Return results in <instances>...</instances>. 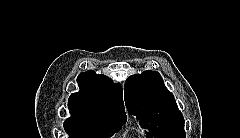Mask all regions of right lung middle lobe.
<instances>
[{
  "mask_svg": "<svg viewBox=\"0 0 240 138\" xmlns=\"http://www.w3.org/2000/svg\"><path fill=\"white\" fill-rule=\"evenodd\" d=\"M120 126H104L78 121H65L64 128L69 138H108L115 134Z\"/></svg>",
  "mask_w": 240,
  "mask_h": 138,
  "instance_id": "dd1d6c3e",
  "label": "right lung middle lobe"
}]
</instances>
